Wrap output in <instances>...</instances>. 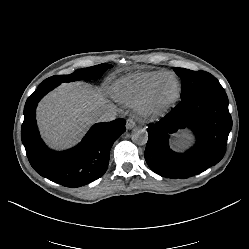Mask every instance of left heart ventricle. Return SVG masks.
I'll return each mask as SVG.
<instances>
[{"instance_id": "1", "label": "left heart ventricle", "mask_w": 249, "mask_h": 249, "mask_svg": "<svg viewBox=\"0 0 249 249\" xmlns=\"http://www.w3.org/2000/svg\"><path fill=\"white\" fill-rule=\"evenodd\" d=\"M177 92V81L174 78L164 80L156 89L154 102L161 104L174 98Z\"/></svg>"}]
</instances>
